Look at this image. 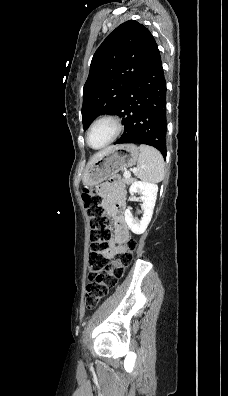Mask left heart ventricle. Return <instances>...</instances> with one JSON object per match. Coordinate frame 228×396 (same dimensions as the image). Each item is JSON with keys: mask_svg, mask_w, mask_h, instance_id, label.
Instances as JSON below:
<instances>
[{"mask_svg": "<svg viewBox=\"0 0 228 396\" xmlns=\"http://www.w3.org/2000/svg\"><path fill=\"white\" fill-rule=\"evenodd\" d=\"M114 128L109 122L98 123L91 131L90 144L93 147H101L104 145L112 136Z\"/></svg>", "mask_w": 228, "mask_h": 396, "instance_id": "1", "label": "left heart ventricle"}]
</instances>
